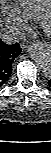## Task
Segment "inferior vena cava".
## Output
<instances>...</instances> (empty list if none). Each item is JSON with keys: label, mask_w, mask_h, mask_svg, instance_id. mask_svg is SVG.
I'll use <instances>...</instances> for the list:
<instances>
[{"label": "inferior vena cava", "mask_w": 51, "mask_h": 153, "mask_svg": "<svg viewBox=\"0 0 51 153\" xmlns=\"http://www.w3.org/2000/svg\"><path fill=\"white\" fill-rule=\"evenodd\" d=\"M0 37L6 44H14L25 38V34L17 27L8 26L1 30Z\"/></svg>", "instance_id": "inferior-vena-cava-1"}]
</instances>
